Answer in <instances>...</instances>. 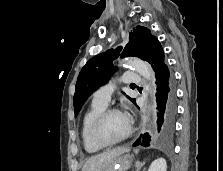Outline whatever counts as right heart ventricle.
Returning <instances> with one entry per match:
<instances>
[{"label": "right heart ventricle", "instance_id": "e07e8e85", "mask_svg": "<svg viewBox=\"0 0 223 171\" xmlns=\"http://www.w3.org/2000/svg\"><path fill=\"white\" fill-rule=\"evenodd\" d=\"M105 108L106 105L93 101L82 118L80 129L81 140L85 151L90 154L98 153L103 149V147L98 146L92 140L90 135V127L95 117Z\"/></svg>", "mask_w": 223, "mask_h": 171}]
</instances>
